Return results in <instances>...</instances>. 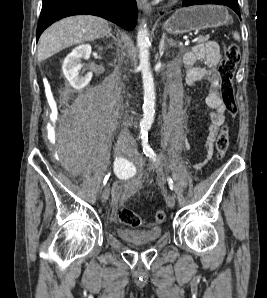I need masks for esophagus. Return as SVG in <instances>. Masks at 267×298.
<instances>
[{"mask_svg": "<svg viewBox=\"0 0 267 298\" xmlns=\"http://www.w3.org/2000/svg\"><path fill=\"white\" fill-rule=\"evenodd\" d=\"M136 1L140 10L146 12L147 15L151 14L152 9L147 0H136Z\"/></svg>", "mask_w": 267, "mask_h": 298, "instance_id": "1", "label": "esophagus"}]
</instances>
